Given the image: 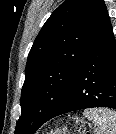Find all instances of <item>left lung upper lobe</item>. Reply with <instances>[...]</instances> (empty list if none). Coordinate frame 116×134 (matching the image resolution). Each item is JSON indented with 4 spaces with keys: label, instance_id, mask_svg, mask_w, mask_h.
<instances>
[{
    "label": "left lung upper lobe",
    "instance_id": "1",
    "mask_svg": "<svg viewBox=\"0 0 116 134\" xmlns=\"http://www.w3.org/2000/svg\"><path fill=\"white\" fill-rule=\"evenodd\" d=\"M109 19L103 0H66L29 52L15 134H33L73 92V80Z\"/></svg>",
    "mask_w": 116,
    "mask_h": 134
}]
</instances>
